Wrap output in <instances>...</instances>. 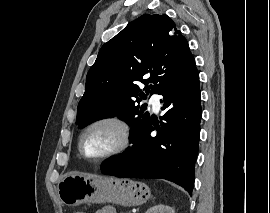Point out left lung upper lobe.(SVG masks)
Instances as JSON below:
<instances>
[{
  "mask_svg": "<svg viewBox=\"0 0 270 213\" xmlns=\"http://www.w3.org/2000/svg\"><path fill=\"white\" fill-rule=\"evenodd\" d=\"M194 64L187 40L167 15L139 17L100 49L78 104V126L118 116L134 137L150 120L136 102L159 94ZM138 82L145 84V93Z\"/></svg>",
  "mask_w": 270,
  "mask_h": 213,
  "instance_id": "left-lung-upper-lobe-1",
  "label": "left lung upper lobe"
}]
</instances>
